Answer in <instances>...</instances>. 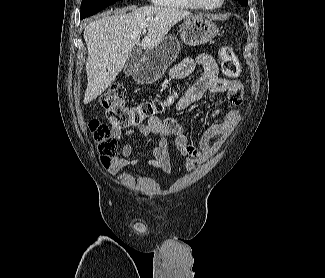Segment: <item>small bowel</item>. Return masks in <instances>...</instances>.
Listing matches in <instances>:
<instances>
[{
	"mask_svg": "<svg viewBox=\"0 0 325 278\" xmlns=\"http://www.w3.org/2000/svg\"><path fill=\"white\" fill-rule=\"evenodd\" d=\"M196 66L202 67L203 73L173 105L172 109L174 111L187 109L193 103L201 100L206 93H226L228 103L234 107L241 103L244 94L243 84L237 79L219 77L217 63L209 54L202 53L195 58H184L170 70L169 77L172 79L187 77L195 70ZM211 117L213 119L219 117V120L207 127L198 145L190 143L183 132L182 126L178 121L170 117L160 118L154 116L145 124L132 126L125 130L112 127V134L116 139L133 134L141 136L154 134L158 136L159 142L152 149L150 157H133V145H123L112 159L109 169L110 174L114 175L123 167L140 162L152 166L165 174H172L168 152L169 137L171 136L174 137L177 149L185 157L186 169L189 172H193L196 168V163L214 154L221 147L223 141L239 122L240 112L236 108L223 107L215 110ZM216 139L217 141L212 143Z\"/></svg>",
	"mask_w": 325,
	"mask_h": 278,
	"instance_id": "small-bowel-1",
	"label": "small bowel"
}]
</instances>
